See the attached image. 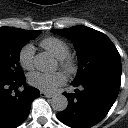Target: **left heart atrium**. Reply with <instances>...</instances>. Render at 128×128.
Masks as SVG:
<instances>
[{"instance_id":"left-heart-atrium-1","label":"left heart atrium","mask_w":128,"mask_h":128,"mask_svg":"<svg viewBox=\"0 0 128 128\" xmlns=\"http://www.w3.org/2000/svg\"><path fill=\"white\" fill-rule=\"evenodd\" d=\"M29 82L32 86L44 92H52L57 87L65 84L66 77L62 72L51 74L35 72L30 75Z\"/></svg>"}]
</instances>
